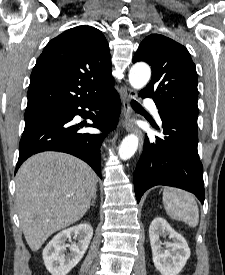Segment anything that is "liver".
Listing matches in <instances>:
<instances>
[{
  "mask_svg": "<svg viewBox=\"0 0 225 275\" xmlns=\"http://www.w3.org/2000/svg\"><path fill=\"white\" fill-rule=\"evenodd\" d=\"M96 183L90 166L69 154L42 152L22 164L16 174V205L32 251L85 215Z\"/></svg>",
  "mask_w": 225,
  "mask_h": 275,
  "instance_id": "obj_1",
  "label": "liver"
}]
</instances>
